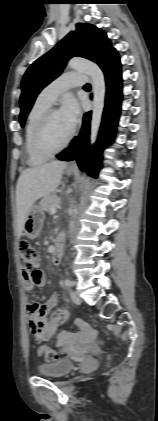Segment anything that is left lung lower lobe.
I'll list each match as a JSON object with an SVG mask.
<instances>
[{"instance_id":"1","label":"left lung lower lobe","mask_w":158,"mask_h":421,"mask_svg":"<svg viewBox=\"0 0 158 421\" xmlns=\"http://www.w3.org/2000/svg\"><path fill=\"white\" fill-rule=\"evenodd\" d=\"M99 66L105 74L107 92L98 141L91 149L89 146L91 112H87L84 115L79 136L72 140L67 150L56 156L59 160L64 161L75 159L79 168L94 178L97 177L101 167V152L113 140V136L110 134L115 133L122 100L121 64L118 52L115 50Z\"/></svg>"}]
</instances>
